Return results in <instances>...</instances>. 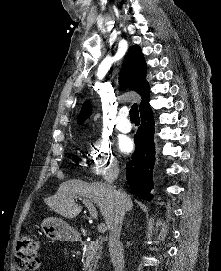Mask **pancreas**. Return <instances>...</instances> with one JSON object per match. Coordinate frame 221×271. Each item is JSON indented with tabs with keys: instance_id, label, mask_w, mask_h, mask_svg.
I'll use <instances>...</instances> for the list:
<instances>
[{
	"instance_id": "pancreas-1",
	"label": "pancreas",
	"mask_w": 221,
	"mask_h": 271,
	"mask_svg": "<svg viewBox=\"0 0 221 271\" xmlns=\"http://www.w3.org/2000/svg\"><path fill=\"white\" fill-rule=\"evenodd\" d=\"M79 245H86L84 255H86L84 263V269H88V271H94L95 265L98 263V259H100L103 253L102 241H88V240H79Z\"/></svg>"
}]
</instances>
